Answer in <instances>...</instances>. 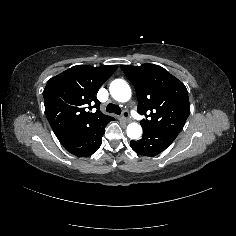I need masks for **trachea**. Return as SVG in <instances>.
Listing matches in <instances>:
<instances>
[{
	"mask_svg": "<svg viewBox=\"0 0 236 236\" xmlns=\"http://www.w3.org/2000/svg\"><path fill=\"white\" fill-rule=\"evenodd\" d=\"M106 111L108 113H115L116 115H120L122 110L118 105H115L113 103H109L106 107Z\"/></svg>",
	"mask_w": 236,
	"mask_h": 236,
	"instance_id": "trachea-1",
	"label": "trachea"
}]
</instances>
